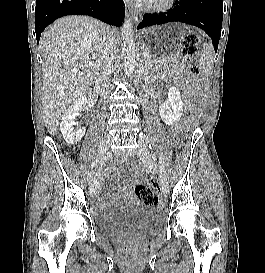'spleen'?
Instances as JSON below:
<instances>
[{"mask_svg":"<svg viewBox=\"0 0 265 273\" xmlns=\"http://www.w3.org/2000/svg\"><path fill=\"white\" fill-rule=\"evenodd\" d=\"M200 64L202 65L203 71L207 76L212 74L213 68V54L211 49L207 46H203V51L201 53Z\"/></svg>","mask_w":265,"mask_h":273,"instance_id":"spleen-1","label":"spleen"}]
</instances>
